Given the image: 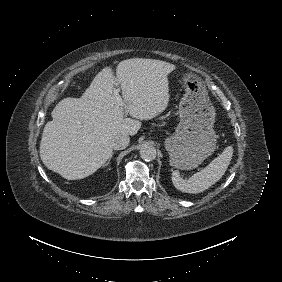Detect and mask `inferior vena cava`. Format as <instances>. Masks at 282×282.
Returning a JSON list of instances; mask_svg holds the SVG:
<instances>
[{
    "label": "inferior vena cava",
    "instance_id": "inferior-vena-cava-1",
    "mask_svg": "<svg viewBox=\"0 0 282 282\" xmlns=\"http://www.w3.org/2000/svg\"><path fill=\"white\" fill-rule=\"evenodd\" d=\"M129 144V137L126 134H117L112 139V148L114 150L125 149Z\"/></svg>",
    "mask_w": 282,
    "mask_h": 282
}]
</instances>
